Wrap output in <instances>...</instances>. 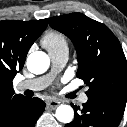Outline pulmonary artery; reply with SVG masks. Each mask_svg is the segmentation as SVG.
Here are the masks:
<instances>
[{
    "mask_svg": "<svg viewBox=\"0 0 127 127\" xmlns=\"http://www.w3.org/2000/svg\"><path fill=\"white\" fill-rule=\"evenodd\" d=\"M50 56L53 64V73L42 77L21 81L17 84L18 90L28 89V90L38 91L46 88L50 84L53 78V74L59 71L66 64L68 60V50H62L56 53H52L50 54ZM87 100L88 97L86 93H82L79 96L80 103H86Z\"/></svg>",
    "mask_w": 127,
    "mask_h": 127,
    "instance_id": "pulmonary-artery-1",
    "label": "pulmonary artery"
}]
</instances>
